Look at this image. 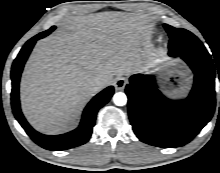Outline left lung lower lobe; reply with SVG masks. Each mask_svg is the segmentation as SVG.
<instances>
[{"instance_id":"1","label":"left lung lower lobe","mask_w":220,"mask_h":173,"mask_svg":"<svg viewBox=\"0 0 220 173\" xmlns=\"http://www.w3.org/2000/svg\"><path fill=\"white\" fill-rule=\"evenodd\" d=\"M173 54L169 51L170 56L174 57ZM178 56L195 75L187 99H167L157 89L154 77L149 75H133L126 86L129 118L135 134L144 143L162 148L183 146L200 132L214 113L215 67L210 55L183 52Z\"/></svg>"}]
</instances>
